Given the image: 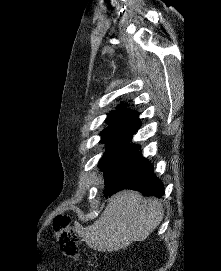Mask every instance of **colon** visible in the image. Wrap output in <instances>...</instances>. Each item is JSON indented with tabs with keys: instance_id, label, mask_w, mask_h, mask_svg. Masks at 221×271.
Segmentation results:
<instances>
[{
	"instance_id": "obj_1",
	"label": "colon",
	"mask_w": 221,
	"mask_h": 271,
	"mask_svg": "<svg viewBox=\"0 0 221 271\" xmlns=\"http://www.w3.org/2000/svg\"><path fill=\"white\" fill-rule=\"evenodd\" d=\"M73 222L68 214L57 215L53 222V237L66 256L79 257L80 243Z\"/></svg>"
}]
</instances>
